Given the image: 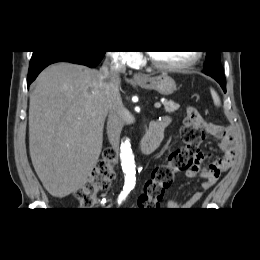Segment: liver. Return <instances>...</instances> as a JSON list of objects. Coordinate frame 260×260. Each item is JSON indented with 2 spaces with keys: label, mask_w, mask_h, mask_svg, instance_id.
Here are the masks:
<instances>
[{
  "label": "liver",
  "mask_w": 260,
  "mask_h": 260,
  "mask_svg": "<svg viewBox=\"0 0 260 260\" xmlns=\"http://www.w3.org/2000/svg\"><path fill=\"white\" fill-rule=\"evenodd\" d=\"M29 103V150L45 189L63 198L92 173L108 114L96 69L61 62L33 83Z\"/></svg>",
  "instance_id": "6515ba94"
}]
</instances>
